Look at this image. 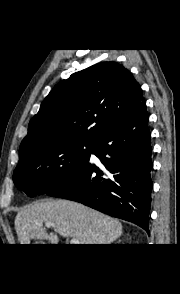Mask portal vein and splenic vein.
I'll use <instances>...</instances> for the list:
<instances>
[{
	"mask_svg": "<svg viewBox=\"0 0 180 294\" xmlns=\"http://www.w3.org/2000/svg\"><path fill=\"white\" fill-rule=\"evenodd\" d=\"M45 226L46 227H51V223H45ZM70 244H73V245H78L80 244L79 240L77 238H72L71 241H70Z\"/></svg>",
	"mask_w": 180,
	"mask_h": 294,
	"instance_id": "18ae733b",
	"label": "portal vein and splenic vein"
}]
</instances>
